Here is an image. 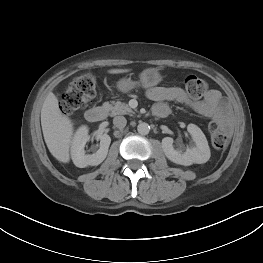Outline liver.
I'll use <instances>...</instances> for the list:
<instances>
[{
  "label": "liver",
  "instance_id": "obj_1",
  "mask_svg": "<svg viewBox=\"0 0 263 263\" xmlns=\"http://www.w3.org/2000/svg\"><path fill=\"white\" fill-rule=\"evenodd\" d=\"M129 69H111V74L128 72ZM41 126L45 143L50 153L60 162L70 161V145L73 135V124L68 116L61 113L58 99L48 93L41 109Z\"/></svg>",
  "mask_w": 263,
  "mask_h": 263
}]
</instances>
